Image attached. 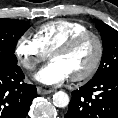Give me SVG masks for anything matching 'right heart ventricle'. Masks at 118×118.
Segmentation results:
<instances>
[{"mask_svg":"<svg viewBox=\"0 0 118 118\" xmlns=\"http://www.w3.org/2000/svg\"><path fill=\"white\" fill-rule=\"evenodd\" d=\"M85 31L87 26L79 21L60 19L41 25L35 37L45 52L51 54L69 38Z\"/></svg>","mask_w":118,"mask_h":118,"instance_id":"right-heart-ventricle-1","label":"right heart ventricle"}]
</instances>
